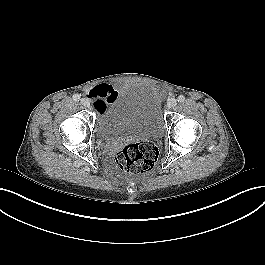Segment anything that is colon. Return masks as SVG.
<instances>
[{
    "mask_svg": "<svg viewBox=\"0 0 265 265\" xmlns=\"http://www.w3.org/2000/svg\"><path fill=\"white\" fill-rule=\"evenodd\" d=\"M158 158L159 150L150 142L125 144L115 155L117 167L129 174H145L152 171Z\"/></svg>",
    "mask_w": 265,
    "mask_h": 265,
    "instance_id": "obj_1",
    "label": "colon"
}]
</instances>
